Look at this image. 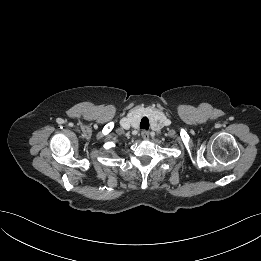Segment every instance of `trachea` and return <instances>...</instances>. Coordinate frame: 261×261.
<instances>
[{"mask_svg":"<svg viewBox=\"0 0 261 261\" xmlns=\"http://www.w3.org/2000/svg\"><path fill=\"white\" fill-rule=\"evenodd\" d=\"M140 128L148 130L149 129V120L147 117H143L140 123Z\"/></svg>","mask_w":261,"mask_h":261,"instance_id":"trachea-1","label":"trachea"}]
</instances>
